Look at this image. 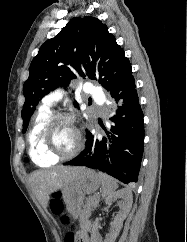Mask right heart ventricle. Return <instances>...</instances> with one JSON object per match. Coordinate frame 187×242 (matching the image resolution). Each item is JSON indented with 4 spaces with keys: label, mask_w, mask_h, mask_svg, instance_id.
<instances>
[{
    "label": "right heart ventricle",
    "mask_w": 187,
    "mask_h": 242,
    "mask_svg": "<svg viewBox=\"0 0 187 242\" xmlns=\"http://www.w3.org/2000/svg\"><path fill=\"white\" fill-rule=\"evenodd\" d=\"M51 116L52 109L50 106L43 105L35 116L28 136L29 155L33 162L41 167H48L58 162L57 158L46 155L41 145L43 128Z\"/></svg>",
    "instance_id": "obj_1"
}]
</instances>
